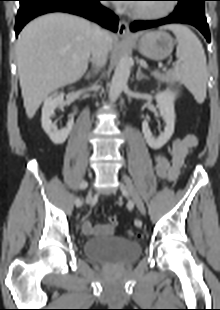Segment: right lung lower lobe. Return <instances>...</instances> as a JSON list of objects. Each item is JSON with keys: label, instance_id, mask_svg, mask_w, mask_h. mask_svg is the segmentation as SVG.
I'll return each instance as SVG.
<instances>
[{"label": "right lung lower lobe", "instance_id": "98d812e1", "mask_svg": "<svg viewBox=\"0 0 220 310\" xmlns=\"http://www.w3.org/2000/svg\"><path fill=\"white\" fill-rule=\"evenodd\" d=\"M99 1L101 0H19L20 8L15 23L16 36L33 18L56 11L83 16L116 32L118 17L103 7Z\"/></svg>", "mask_w": 220, "mask_h": 310}]
</instances>
